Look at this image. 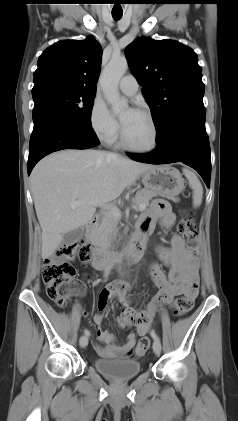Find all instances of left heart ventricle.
<instances>
[{"label": "left heart ventricle", "instance_id": "obj_1", "mask_svg": "<svg viewBox=\"0 0 238 421\" xmlns=\"http://www.w3.org/2000/svg\"><path fill=\"white\" fill-rule=\"evenodd\" d=\"M120 119L127 140L135 147H149L153 140V131L149 120L142 114L130 110L121 113Z\"/></svg>", "mask_w": 238, "mask_h": 421}]
</instances>
